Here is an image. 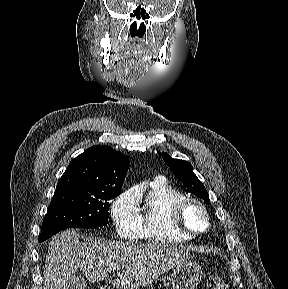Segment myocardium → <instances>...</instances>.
I'll return each instance as SVG.
<instances>
[{"mask_svg": "<svg viewBox=\"0 0 288 289\" xmlns=\"http://www.w3.org/2000/svg\"><path fill=\"white\" fill-rule=\"evenodd\" d=\"M189 205H194L197 208H199L202 213L205 216V220H206V227L198 232H193L191 230H189L186 225L183 222V212L186 209V207H188ZM170 217H171V222L173 224V226L180 232H182L183 234H185L186 236L190 237V238H195V237H199L205 233H207L210 228H211V221H210V215L209 212L207 210V208L205 207V205L198 199L196 198H192V197H185L179 201H177L176 203H174L170 209Z\"/></svg>", "mask_w": 288, "mask_h": 289, "instance_id": "myocardium-1", "label": "myocardium"}]
</instances>
